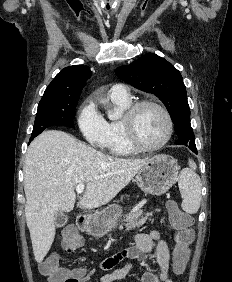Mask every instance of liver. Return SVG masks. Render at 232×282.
<instances>
[{"mask_svg": "<svg viewBox=\"0 0 232 282\" xmlns=\"http://www.w3.org/2000/svg\"><path fill=\"white\" fill-rule=\"evenodd\" d=\"M148 159L103 154L61 130H48L30 144L24 163L25 216L35 260L41 263L55 238V215L74 208L78 184H86L78 205L109 203Z\"/></svg>", "mask_w": 232, "mask_h": 282, "instance_id": "1", "label": "liver"}]
</instances>
